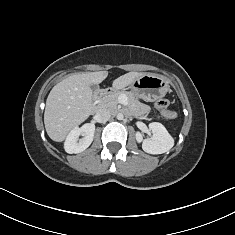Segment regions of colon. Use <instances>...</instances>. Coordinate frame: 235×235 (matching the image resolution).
<instances>
[{
    "label": "colon",
    "mask_w": 235,
    "mask_h": 235,
    "mask_svg": "<svg viewBox=\"0 0 235 235\" xmlns=\"http://www.w3.org/2000/svg\"><path fill=\"white\" fill-rule=\"evenodd\" d=\"M170 102L167 99H160L156 103V109L158 112L168 119H175L176 114L169 110Z\"/></svg>",
    "instance_id": "1"
}]
</instances>
